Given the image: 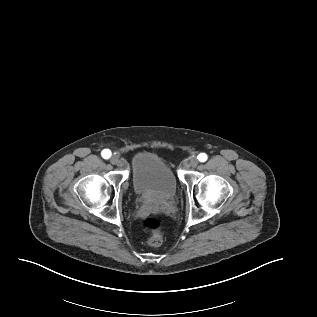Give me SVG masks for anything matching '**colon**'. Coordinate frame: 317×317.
I'll use <instances>...</instances> for the list:
<instances>
[{"instance_id": "5ec220e1", "label": "colon", "mask_w": 317, "mask_h": 317, "mask_svg": "<svg viewBox=\"0 0 317 317\" xmlns=\"http://www.w3.org/2000/svg\"><path fill=\"white\" fill-rule=\"evenodd\" d=\"M144 227L152 233L147 239V244L152 247L160 246L163 242L160 220L155 217H148L144 220Z\"/></svg>"}]
</instances>
